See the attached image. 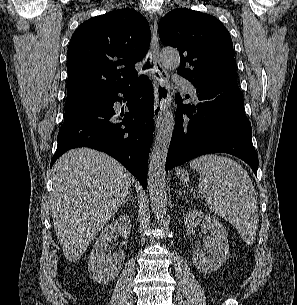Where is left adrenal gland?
<instances>
[{
    "mask_svg": "<svg viewBox=\"0 0 297 305\" xmlns=\"http://www.w3.org/2000/svg\"><path fill=\"white\" fill-rule=\"evenodd\" d=\"M186 192L185 191H183L181 188H180V190H179V197H181L182 196V194H185Z\"/></svg>",
    "mask_w": 297,
    "mask_h": 305,
    "instance_id": "a2214340",
    "label": "left adrenal gland"
}]
</instances>
